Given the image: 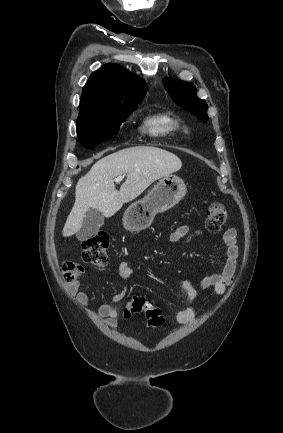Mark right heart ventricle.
Here are the masks:
<instances>
[{
  "mask_svg": "<svg viewBox=\"0 0 283 433\" xmlns=\"http://www.w3.org/2000/svg\"><path fill=\"white\" fill-rule=\"evenodd\" d=\"M139 128L153 137H167L175 134L179 125L169 114L157 113L144 117Z\"/></svg>",
  "mask_w": 283,
  "mask_h": 433,
  "instance_id": "obj_1",
  "label": "right heart ventricle"
}]
</instances>
